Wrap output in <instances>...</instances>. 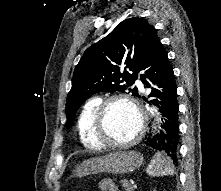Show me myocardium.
Returning <instances> with one entry per match:
<instances>
[{"instance_id": "f54148a6", "label": "myocardium", "mask_w": 221, "mask_h": 191, "mask_svg": "<svg viewBox=\"0 0 221 191\" xmlns=\"http://www.w3.org/2000/svg\"><path fill=\"white\" fill-rule=\"evenodd\" d=\"M126 102L131 105L138 113L140 125L136 134L129 140L123 142L112 141L108 136L107 114L110 105L114 102ZM146 127V117L143 109L137 100L126 94H115L104 99L97 108L94 120V133L100 146L110 148H127L140 141L144 135Z\"/></svg>"}]
</instances>
